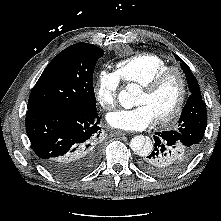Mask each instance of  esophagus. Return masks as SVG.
Instances as JSON below:
<instances>
[{
	"label": "esophagus",
	"mask_w": 221,
	"mask_h": 221,
	"mask_svg": "<svg viewBox=\"0 0 221 221\" xmlns=\"http://www.w3.org/2000/svg\"><path fill=\"white\" fill-rule=\"evenodd\" d=\"M127 133L124 132V131H114L113 132V136H123V135H126Z\"/></svg>",
	"instance_id": "34e87169"
}]
</instances>
